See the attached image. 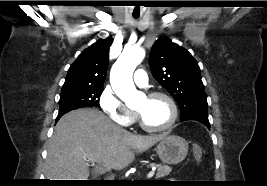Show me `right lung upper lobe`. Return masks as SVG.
I'll return each instance as SVG.
<instances>
[{
  "mask_svg": "<svg viewBox=\"0 0 267 186\" xmlns=\"http://www.w3.org/2000/svg\"><path fill=\"white\" fill-rule=\"evenodd\" d=\"M111 44L106 38L85 49L70 66L63 87H103Z\"/></svg>",
  "mask_w": 267,
  "mask_h": 186,
  "instance_id": "1",
  "label": "right lung upper lobe"
}]
</instances>
